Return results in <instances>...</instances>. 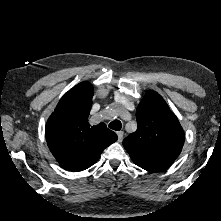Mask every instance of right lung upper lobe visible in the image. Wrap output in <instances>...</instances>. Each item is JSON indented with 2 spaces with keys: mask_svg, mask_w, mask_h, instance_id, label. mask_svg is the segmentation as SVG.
Instances as JSON below:
<instances>
[{
  "mask_svg": "<svg viewBox=\"0 0 221 221\" xmlns=\"http://www.w3.org/2000/svg\"><path fill=\"white\" fill-rule=\"evenodd\" d=\"M93 86L81 82L59 101L46 124V141L59 164L71 171L90 167L118 137L104 123L90 126Z\"/></svg>",
  "mask_w": 221,
  "mask_h": 221,
  "instance_id": "obj_1",
  "label": "right lung upper lobe"
}]
</instances>
